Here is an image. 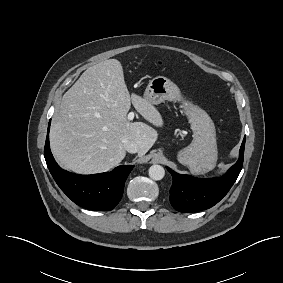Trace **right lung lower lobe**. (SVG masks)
<instances>
[{
  "label": "right lung lower lobe",
  "instance_id": "1",
  "mask_svg": "<svg viewBox=\"0 0 283 283\" xmlns=\"http://www.w3.org/2000/svg\"><path fill=\"white\" fill-rule=\"evenodd\" d=\"M49 128L44 156L54 180L60 189L77 205L95 211L113 209L120 201L125 181L132 165H121L111 172L77 175L61 169L54 160L49 146Z\"/></svg>",
  "mask_w": 283,
  "mask_h": 283
}]
</instances>
